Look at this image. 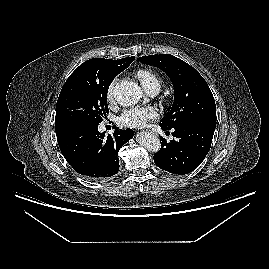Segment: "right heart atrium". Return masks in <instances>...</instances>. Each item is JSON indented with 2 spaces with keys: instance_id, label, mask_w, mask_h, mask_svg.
<instances>
[{
  "instance_id": "d8ad5b80",
  "label": "right heart atrium",
  "mask_w": 269,
  "mask_h": 269,
  "mask_svg": "<svg viewBox=\"0 0 269 269\" xmlns=\"http://www.w3.org/2000/svg\"><path fill=\"white\" fill-rule=\"evenodd\" d=\"M116 81L113 80L110 85L108 86L107 89V99L109 102H113L115 100L114 97V88H115Z\"/></svg>"
}]
</instances>
